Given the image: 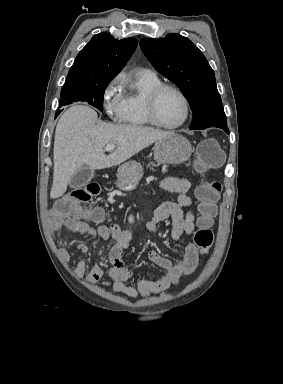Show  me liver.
Here are the masks:
<instances>
[{"label": "liver", "mask_w": 283, "mask_h": 384, "mask_svg": "<svg viewBox=\"0 0 283 384\" xmlns=\"http://www.w3.org/2000/svg\"><path fill=\"white\" fill-rule=\"evenodd\" d=\"M97 114L88 106H71L61 116L55 130L54 172L50 198H60L77 170L84 164L91 170L112 168L126 162L140 150L148 148L174 132L145 128L138 124H99ZM115 144L106 156L103 148Z\"/></svg>", "instance_id": "1"}]
</instances>
